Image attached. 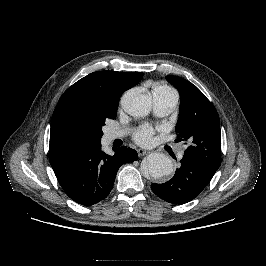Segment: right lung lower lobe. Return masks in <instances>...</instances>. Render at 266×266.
Listing matches in <instances>:
<instances>
[{"mask_svg": "<svg viewBox=\"0 0 266 266\" xmlns=\"http://www.w3.org/2000/svg\"><path fill=\"white\" fill-rule=\"evenodd\" d=\"M113 150L115 154L111 156L101 150V142L57 141L50 143L49 160L66 194L75 202L90 206L109 195L121 165L138 159L131 148Z\"/></svg>", "mask_w": 266, "mask_h": 266, "instance_id": "98d812e1", "label": "right lung lower lobe"}]
</instances>
